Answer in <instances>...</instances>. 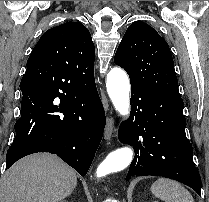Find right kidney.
Masks as SVG:
<instances>
[{"instance_id": "1", "label": "right kidney", "mask_w": 209, "mask_h": 202, "mask_svg": "<svg viewBox=\"0 0 209 202\" xmlns=\"http://www.w3.org/2000/svg\"><path fill=\"white\" fill-rule=\"evenodd\" d=\"M61 202H67L66 200H63V201H61Z\"/></svg>"}]
</instances>
